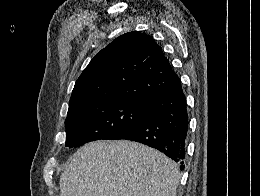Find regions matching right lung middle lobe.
<instances>
[{
  "instance_id": "dd1d6c3e",
  "label": "right lung middle lobe",
  "mask_w": 260,
  "mask_h": 196,
  "mask_svg": "<svg viewBox=\"0 0 260 196\" xmlns=\"http://www.w3.org/2000/svg\"><path fill=\"white\" fill-rule=\"evenodd\" d=\"M139 105L140 102L125 97H106L69 106L65 146L73 148L99 139L114 140L149 117Z\"/></svg>"
}]
</instances>
